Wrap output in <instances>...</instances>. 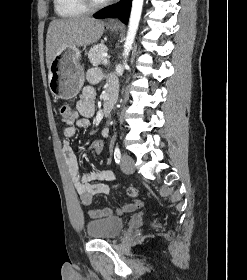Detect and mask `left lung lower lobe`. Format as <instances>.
Here are the masks:
<instances>
[{"instance_id":"obj_1","label":"left lung lower lobe","mask_w":247,"mask_h":280,"mask_svg":"<svg viewBox=\"0 0 247 280\" xmlns=\"http://www.w3.org/2000/svg\"><path fill=\"white\" fill-rule=\"evenodd\" d=\"M132 0H121L116 5L111 6L102 12L94 15L96 18H119L124 23H128Z\"/></svg>"}]
</instances>
